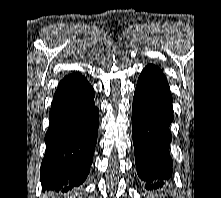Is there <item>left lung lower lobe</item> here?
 Segmentation results:
<instances>
[{
    "label": "left lung lower lobe",
    "mask_w": 221,
    "mask_h": 198,
    "mask_svg": "<svg viewBox=\"0 0 221 198\" xmlns=\"http://www.w3.org/2000/svg\"><path fill=\"white\" fill-rule=\"evenodd\" d=\"M173 121L172 96L159 67L149 64L139 76L132 107V135L138 176L146 181L172 176L169 130ZM159 182L146 188H158Z\"/></svg>",
    "instance_id": "0a47b994"
}]
</instances>
